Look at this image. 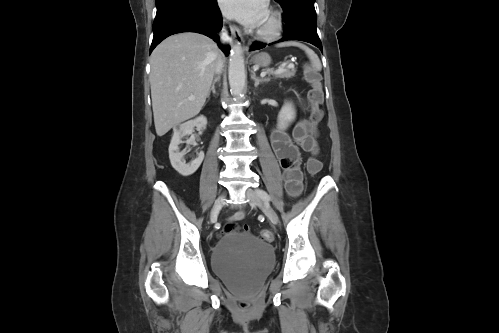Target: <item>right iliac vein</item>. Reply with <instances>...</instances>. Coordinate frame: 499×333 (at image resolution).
Here are the masks:
<instances>
[{"label":"right iliac vein","instance_id":"1","mask_svg":"<svg viewBox=\"0 0 499 333\" xmlns=\"http://www.w3.org/2000/svg\"><path fill=\"white\" fill-rule=\"evenodd\" d=\"M226 195L222 194L215 202L212 207L211 213H210V221L213 222L217 219V216L221 210L223 201L225 199Z\"/></svg>","mask_w":499,"mask_h":333}]
</instances>
